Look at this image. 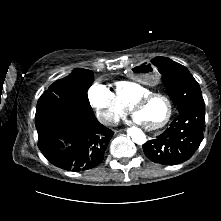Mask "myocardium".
I'll return each mask as SVG.
<instances>
[{
	"label": "myocardium",
	"instance_id": "1",
	"mask_svg": "<svg viewBox=\"0 0 221 221\" xmlns=\"http://www.w3.org/2000/svg\"><path fill=\"white\" fill-rule=\"evenodd\" d=\"M156 97H160L162 99H164L167 104H168V113L165 116V118L159 122L158 124L155 125H146L143 123V126L147 129V130H158L163 128L164 126H166L168 124V122L171 120L173 113H174V105L172 100L165 94L160 93V92H150L147 94L142 95L141 97L137 98L130 106V111L132 112V114H134L136 116V112L138 109H140L141 107H143L144 105L147 104L148 101H150L153 98Z\"/></svg>",
	"mask_w": 221,
	"mask_h": 221
}]
</instances>
